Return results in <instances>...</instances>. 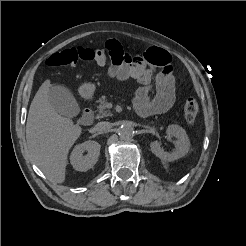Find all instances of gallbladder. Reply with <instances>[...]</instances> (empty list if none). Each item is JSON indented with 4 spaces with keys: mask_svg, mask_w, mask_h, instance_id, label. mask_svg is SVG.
<instances>
[{
    "mask_svg": "<svg viewBox=\"0 0 246 246\" xmlns=\"http://www.w3.org/2000/svg\"><path fill=\"white\" fill-rule=\"evenodd\" d=\"M49 101L54 110L65 117H75L80 108L72 93L60 85L51 86L49 89Z\"/></svg>",
    "mask_w": 246,
    "mask_h": 246,
    "instance_id": "gallbladder-1",
    "label": "gallbladder"
}]
</instances>
